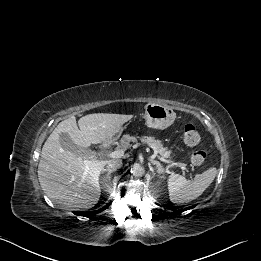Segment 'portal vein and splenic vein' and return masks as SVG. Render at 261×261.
<instances>
[{
  "label": "portal vein and splenic vein",
  "instance_id": "obj_1",
  "mask_svg": "<svg viewBox=\"0 0 261 261\" xmlns=\"http://www.w3.org/2000/svg\"><path fill=\"white\" fill-rule=\"evenodd\" d=\"M123 155H124V150L120 149V150H115V151L107 154V157H110V158H120ZM154 156L158 157V159H160L162 162L171 163L172 165L179 166L183 171H186V168H185L184 165H182L180 163H177V162L166 160L164 157L158 156L157 152H154ZM84 170H85L84 174L90 173V166H89L88 162H86Z\"/></svg>",
  "mask_w": 261,
  "mask_h": 261
}]
</instances>
